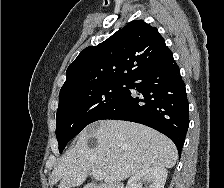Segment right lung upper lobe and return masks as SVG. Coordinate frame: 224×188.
I'll list each match as a JSON object with an SVG mask.
<instances>
[{
    "instance_id": "cb5924a9",
    "label": "right lung upper lobe",
    "mask_w": 224,
    "mask_h": 188,
    "mask_svg": "<svg viewBox=\"0 0 224 188\" xmlns=\"http://www.w3.org/2000/svg\"><path fill=\"white\" fill-rule=\"evenodd\" d=\"M171 54L157 28L134 20L104 42L85 48L68 67L61 91L109 81H131Z\"/></svg>"
}]
</instances>
